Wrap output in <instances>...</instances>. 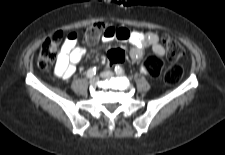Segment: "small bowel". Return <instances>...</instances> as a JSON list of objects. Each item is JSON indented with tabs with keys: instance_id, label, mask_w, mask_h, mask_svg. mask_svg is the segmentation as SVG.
<instances>
[{
	"instance_id": "obj_1",
	"label": "small bowel",
	"mask_w": 225,
	"mask_h": 155,
	"mask_svg": "<svg viewBox=\"0 0 225 155\" xmlns=\"http://www.w3.org/2000/svg\"><path fill=\"white\" fill-rule=\"evenodd\" d=\"M81 40V33L77 29H70L60 36L61 50L55 65V74L64 79L71 78L76 65L85 54V50L76 44ZM104 42L113 40L127 41L130 45V57L140 60L144 50L150 48L154 56L160 58L165 54L164 47L160 44L159 36L155 32L130 31L125 27H112L102 36Z\"/></svg>"
}]
</instances>
